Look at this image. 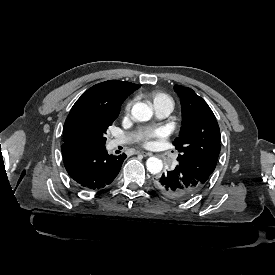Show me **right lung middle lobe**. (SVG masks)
I'll use <instances>...</instances> for the list:
<instances>
[{"mask_svg":"<svg viewBox=\"0 0 275 275\" xmlns=\"http://www.w3.org/2000/svg\"><path fill=\"white\" fill-rule=\"evenodd\" d=\"M119 113L95 111L75 118L63 132V143H89L105 146L107 129Z\"/></svg>","mask_w":275,"mask_h":275,"instance_id":"obj_1","label":"right lung middle lobe"}]
</instances>
